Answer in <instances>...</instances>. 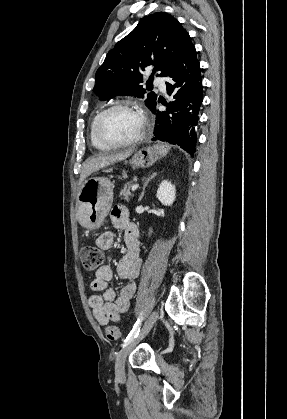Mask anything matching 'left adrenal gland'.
<instances>
[{
  "label": "left adrenal gland",
  "instance_id": "left-adrenal-gland-1",
  "mask_svg": "<svg viewBox=\"0 0 287 419\" xmlns=\"http://www.w3.org/2000/svg\"><path fill=\"white\" fill-rule=\"evenodd\" d=\"M156 174H157V173H153V174H151L150 176H148V177L145 179V182H144V185H143V189H142V193H141V195H140V197H139V200H138L139 202L142 200V198H143V196H144L145 189H146L147 185L149 184V182H150L151 180H153V179L155 178Z\"/></svg>",
  "mask_w": 287,
  "mask_h": 419
}]
</instances>
